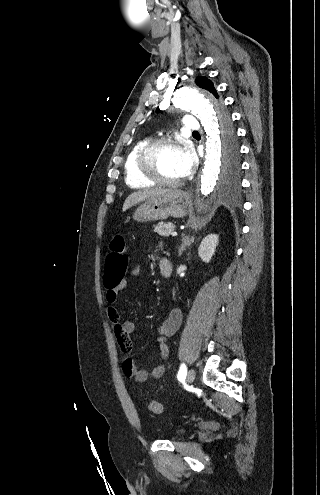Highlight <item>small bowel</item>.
<instances>
[{
	"label": "small bowel",
	"instance_id": "c3829d8e",
	"mask_svg": "<svg viewBox=\"0 0 320 495\" xmlns=\"http://www.w3.org/2000/svg\"><path fill=\"white\" fill-rule=\"evenodd\" d=\"M134 276L139 275V269L134 268L132 270ZM126 285L124 279H122L115 286H107L106 301L109 306L107 308V317L113 326L115 336L118 345L125 355L123 361V371L129 378H133L135 381L143 383L151 379H159L165 372V366L159 364L153 367L151 370L139 369L134 360L131 358L133 349V343L131 334L135 330V325L131 321H122L117 308L113 305L120 290ZM182 319V312L179 308H174L170 311L168 317L157 327V342L162 358H167L169 355V346L166 343V339L172 336L179 328Z\"/></svg>",
	"mask_w": 320,
	"mask_h": 495
}]
</instances>
